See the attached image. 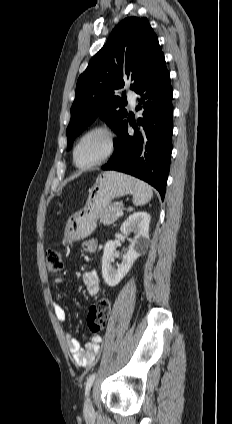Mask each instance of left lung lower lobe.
<instances>
[{
    "label": "left lung lower lobe",
    "mask_w": 232,
    "mask_h": 424,
    "mask_svg": "<svg viewBox=\"0 0 232 424\" xmlns=\"http://www.w3.org/2000/svg\"><path fill=\"white\" fill-rule=\"evenodd\" d=\"M135 92L139 95L136 107L142 117L138 124L124 121L119 139L114 142V154L102 167L140 178L155 187L162 200L172 152V88L169 72L163 58L150 77ZM128 121L135 129L127 132Z\"/></svg>",
    "instance_id": "obj_1"
}]
</instances>
